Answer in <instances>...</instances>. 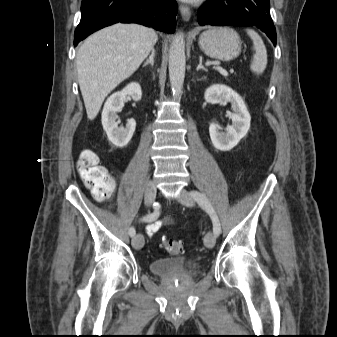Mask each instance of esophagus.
<instances>
[{
	"instance_id": "34e87169",
	"label": "esophagus",
	"mask_w": 337,
	"mask_h": 337,
	"mask_svg": "<svg viewBox=\"0 0 337 337\" xmlns=\"http://www.w3.org/2000/svg\"><path fill=\"white\" fill-rule=\"evenodd\" d=\"M179 10L184 21H188L191 17V9L185 5H179Z\"/></svg>"
}]
</instances>
